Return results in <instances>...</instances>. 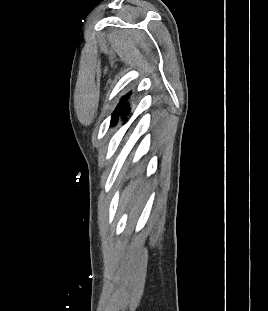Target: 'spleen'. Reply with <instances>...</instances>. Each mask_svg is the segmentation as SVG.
Listing matches in <instances>:
<instances>
[{"instance_id":"spleen-1","label":"spleen","mask_w":268,"mask_h":311,"mask_svg":"<svg viewBox=\"0 0 268 311\" xmlns=\"http://www.w3.org/2000/svg\"><path fill=\"white\" fill-rule=\"evenodd\" d=\"M141 200V190H138L137 184L133 182L132 186L130 185L124 190L120 204H123L124 206L130 205L131 209L134 210L138 207Z\"/></svg>"}]
</instances>
